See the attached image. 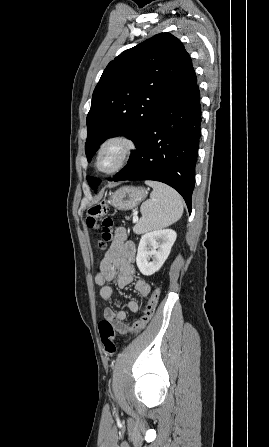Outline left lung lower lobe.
Returning a JSON list of instances; mask_svg holds the SVG:
<instances>
[{
    "label": "left lung lower lobe",
    "instance_id": "1",
    "mask_svg": "<svg viewBox=\"0 0 269 447\" xmlns=\"http://www.w3.org/2000/svg\"><path fill=\"white\" fill-rule=\"evenodd\" d=\"M200 91L187 53L140 152L111 181L155 180L176 189L191 212L200 139Z\"/></svg>",
    "mask_w": 269,
    "mask_h": 447
}]
</instances>
